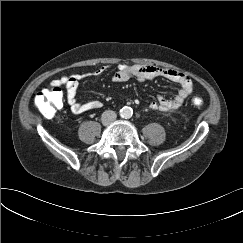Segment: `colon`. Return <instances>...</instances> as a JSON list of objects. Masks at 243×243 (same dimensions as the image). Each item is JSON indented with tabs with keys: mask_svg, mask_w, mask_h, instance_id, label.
I'll return each mask as SVG.
<instances>
[{
	"mask_svg": "<svg viewBox=\"0 0 243 243\" xmlns=\"http://www.w3.org/2000/svg\"><path fill=\"white\" fill-rule=\"evenodd\" d=\"M34 104L45 117L52 118L63 105V93L59 87L45 88L35 96ZM192 104L200 107L203 100L195 97Z\"/></svg>",
	"mask_w": 243,
	"mask_h": 243,
	"instance_id": "1",
	"label": "colon"
}]
</instances>
